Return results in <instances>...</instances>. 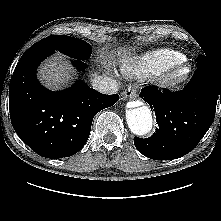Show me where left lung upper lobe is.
Instances as JSON below:
<instances>
[{"label": "left lung upper lobe", "instance_id": "1", "mask_svg": "<svg viewBox=\"0 0 221 221\" xmlns=\"http://www.w3.org/2000/svg\"><path fill=\"white\" fill-rule=\"evenodd\" d=\"M196 66H197V69L212 68V65L210 64V62L207 60V58L205 56H200L197 58V65Z\"/></svg>", "mask_w": 221, "mask_h": 221}]
</instances>
